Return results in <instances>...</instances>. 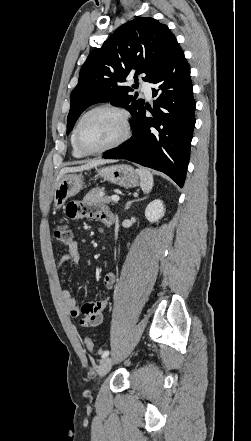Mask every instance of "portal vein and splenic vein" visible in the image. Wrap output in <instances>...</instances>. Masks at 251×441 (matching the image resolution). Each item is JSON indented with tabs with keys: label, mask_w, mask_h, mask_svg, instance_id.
Returning <instances> with one entry per match:
<instances>
[{
	"label": "portal vein and splenic vein",
	"mask_w": 251,
	"mask_h": 441,
	"mask_svg": "<svg viewBox=\"0 0 251 441\" xmlns=\"http://www.w3.org/2000/svg\"><path fill=\"white\" fill-rule=\"evenodd\" d=\"M110 199H111L113 202H118V201L120 200L119 196H117V195H112V196L110 197Z\"/></svg>",
	"instance_id": "18ae733b"
}]
</instances>
